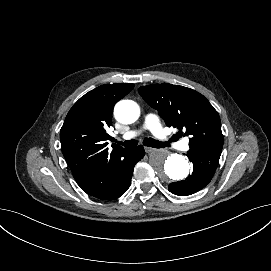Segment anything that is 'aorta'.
<instances>
[{
	"mask_svg": "<svg viewBox=\"0 0 271 271\" xmlns=\"http://www.w3.org/2000/svg\"><path fill=\"white\" fill-rule=\"evenodd\" d=\"M114 115L120 123L131 124L139 118L140 109L134 101L122 100L116 104ZM149 162L155 173L163 180H182L190 171L188 160L177 153L154 151L150 155Z\"/></svg>",
	"mask_w": 271,
	"mask_h": 271,
	"instance_id": "1",
	"label": "aorta"
}]
</instances>
